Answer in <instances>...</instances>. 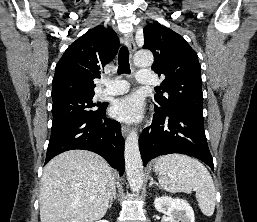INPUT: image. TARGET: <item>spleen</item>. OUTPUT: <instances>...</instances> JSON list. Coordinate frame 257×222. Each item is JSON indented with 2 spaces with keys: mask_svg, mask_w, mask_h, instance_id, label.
<instances>
[{
  "mask_svg": "<svg viewBox=\"0 0 257 222\" xmlns=\"http://www.w3.org/2000/svg\"><path fill=\"white\" fill-rule=\"evenodd\" d=\"M154 167L161 187L172 193H191L194 189L202 213L208 217L213 215L215 186L202 163L187 155L169 154L158 158Z\"/></svg>",
  "mask_w": 257,
  "mask_h": 222,
  "instance_id": "1",
  "label": "spleen"
}]
</instances>
